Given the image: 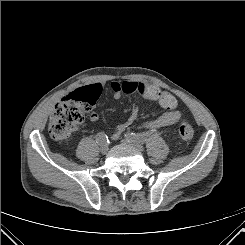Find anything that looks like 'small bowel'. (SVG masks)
<instances>
[{"instance_id":"c3829d8e","label":"small bowel","mask_w":245,"mask_h":245,"mask_svg":"<svg viewBox=\"0 0 245 245\" xmlns=\"http://www.w3.org/2000/svg\"><path fill=\"white\" fill-rule=\"evenodd\" d=\"M110 87L113 92L114 99H119L123 94L138 93L147 99L159 102L160 107L165 110V112L154 119L143 121V126L149 130L174 125L181 118V112L176 108V99L171 94L162 91L156 86L137 82L114 81L111 83ZM139 118L140 110L136 105H133L127 121L115 127L112 133V138H119L124 130ZM89 120L92 122L97 121L98 114L96 112H91L89 115Z\"/></svg>"}]
</instances>
